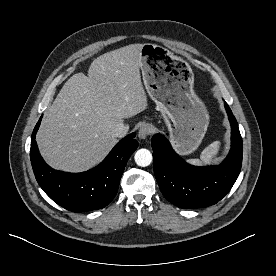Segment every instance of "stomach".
Wrapping results in <instances>:
<instances>
[{
    "label": "stomach",
    "mask_w": 276,
    "mask_h": 276,
    "mask_svg": "<svg viewBox=\"0 0 276 276\" xmlns=\"http://www.w3.org/2000/svg\"><path fill=\"white\" fill-rule=\"evenodd\" d=\"M139 57L146 90L161 112L173 149L180 155L193 153L205 135L209 115L194 90L191 66L153 43L143 44Z\"/></svg>",
    "instance_id": "stomach-1"
}]
</instances>
